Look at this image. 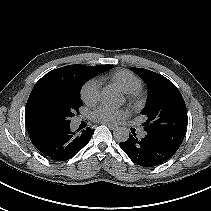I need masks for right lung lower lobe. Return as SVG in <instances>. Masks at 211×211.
<instances>
[{
  "label": "right lung lower lobe",
  "mask_w": 211,
  "mask_h": 211,
  "mask_svg": "<svg viewBox=\"0 0 211 211\" xmlns=\"http://www.w3.org/2000/svg\"><path fill=\"white\" fill-rule=\"evenodd\" d=\"M70 130V124L30 133V140L37 150L53 161H66L76 155L91 139L94 130Z\"/></svg>",
  "instance_id": "98d812e1"
}]
</instances>
